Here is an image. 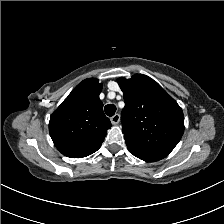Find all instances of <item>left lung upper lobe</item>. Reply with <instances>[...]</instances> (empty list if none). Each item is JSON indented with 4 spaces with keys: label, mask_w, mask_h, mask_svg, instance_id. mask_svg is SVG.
Listing matches in <instances>:
<instances>
[{
    "label": "left lung upper lobe",
    "mask_w": 224,
    "mask_h": 224,
    "mask_svg": "<svg viewBox=\"0 0 224 224\" xmlns=\"http://www.w3.org/2000/svg\"><path fill=\"white\" fill-rule=\"evenodd\" d=\"M118 84L125 100L121 122L126 144L167 156L184 132L181 107L146 75L119 78Z\"/></svg>",
    "instance_id": "1"
}]
</instances>
